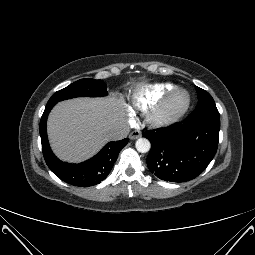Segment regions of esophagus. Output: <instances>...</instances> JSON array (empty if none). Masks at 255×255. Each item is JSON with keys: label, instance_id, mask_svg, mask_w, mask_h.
<instances>
[{"label": "esophagus", "instance_id": "34e87169", "mask_svg": "<svg viewBox=\"0 0 255 255\" xmlns=\"http://www.w3.org/2000/svg\"><path fill=\"white\" fill-rule=\"evenodd\" d=\"M142 136V132L141 131H133L130 135L129 138L131 140H135L137 138H140Z\"/></svg>", "mask_w": 255, "mask_h": 255}]
</instances>
